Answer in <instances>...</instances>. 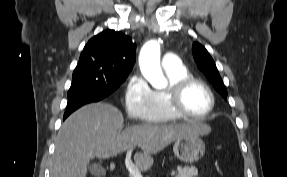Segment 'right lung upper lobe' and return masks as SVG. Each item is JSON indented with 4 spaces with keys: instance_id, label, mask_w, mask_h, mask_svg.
Returning a JSON list of instances; mask_svg holds the SVG:
<instances>
[{
    "instance_id": "right-lung-upper-lobe-1",
    "label": "right lung upper lobe",
    "mask_w": 287,
    "mask_h": 177,
    "mask_svg": "<svg viewBox=\"0 0 287 177\" xmlns=\"http://www.w3.org/2000/svg\"><path fill=\"white\" fill-rule=\"evenodd\" d=\"M136 44L127 35L105 30L85 45L78 68L96 70L110 77L128 76L135 62Z\"/></svg>"
}]
</instances>
